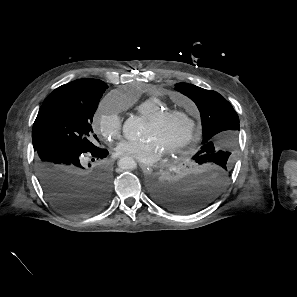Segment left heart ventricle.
Wrapping results in <instances>:
<instances>
[{
    "label": "left heart ventricle",
    "mask_w": 297,
    "mask_h": 297,
    "mask_svg": "<svg viewBox=\"0 0 297 297\" xmlns=\"http://www.w3.org/2000/svg\"><path fill=\"white\" fill-rule=\"evenodd\" d=\"M188 130L189 124L184 118L169 119L159 126L147 121L143 137L154 138L165 152L180 143L188 134Z\"/></svg>",
    "instance_id": "obj_1"
}]
</instances>
